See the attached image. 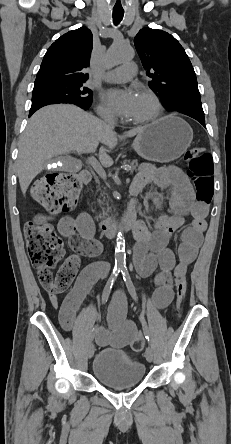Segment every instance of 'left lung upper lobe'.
Returning a JSON list of instances; mask_svg holds the SVG:
<instances>
[{"label": "left lung upper lobe", "mask_w": 231, "mask_h": 444, "mask_svg": "<svg viewBox=\"0 0 231 444\" xmlns=\"http://www.w3.org/2000/svg\"><path fill=\"white\" fill-rule=\"evenodd\" d=\"M149 86L164 99L170 111L204 117L197 78L181 44L162 30L143 28L134 38Z\"/></svg>", "instance_id": "5c2ea615"}]
</instances>
